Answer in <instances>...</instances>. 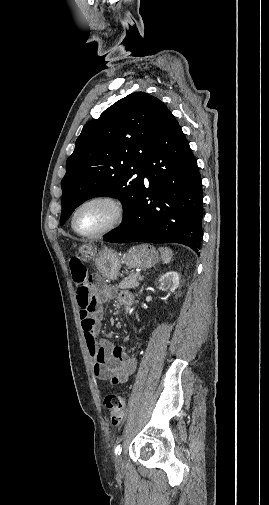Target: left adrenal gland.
Listing matches in <instances>:
<instances>
[{"mask_svg":"<svg viewBox=\"0 0 269 505\" xmlns=\"http://www.w3.org/2000/svg\"><path fill=\"white\" fill-rule=\"evenodd\" d=\"M143 287H144V286H142V288H141L140 292H142V290H143Z\"/></svg>","mask_w":269,"mask_h":505,"instance_id":"left-adrenal-gland-1","label":"left adrenal gland"}]
</instances>
